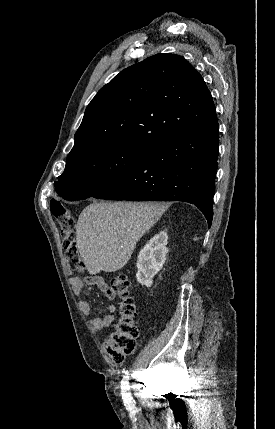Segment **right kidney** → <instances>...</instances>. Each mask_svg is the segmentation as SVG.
I'll return each mask as SVG.
<instances>
[{
    "instance_id": "ca27d5eb",
    "label": "right kidney",
    "mask_w": 275,
    "mask_h": 429,
    "mask_svg": "<svg viewBox=\"0 0 275 429\" xmlns=\"http://www.w3.org/2000/svg\"><path fill=\"white\" fill-rule=\"evenodd\" d=\"M167 240V233L161 231L139 252L136 278L142 286L151 287L154 276L162 269L168 253Z\"/></svg>"
}]
</instances>
